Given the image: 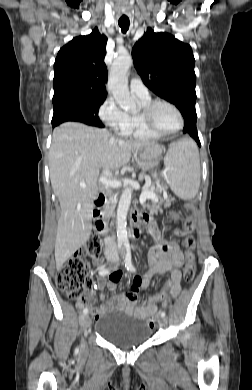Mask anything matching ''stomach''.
I'll return each mask as SVG.
<instances>
[{
    "label": "stomach",
    "instance_id": "stomach-1",
    "mask_svg": "<svg viewBox=\"0 0 252 390\" xmlns=\"http://www.w3.org/2000/svg\"><path fill=\"white\" fill-rule=\"evenodd\" d=\"M162 150L157 147H147L137 151V163L139 167L144 170H150L154 168L161 156Z\"/></svg>",
    "mask_w": 252,
    "mask_h": 390
}]
</instances>
